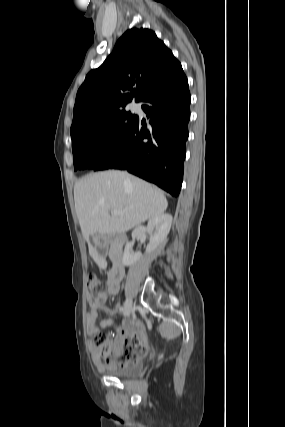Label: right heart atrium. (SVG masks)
I'll use <instances>...</instances> for the list:
<instances>
[{
    "label": "right heart atrium",
    "mask_w": 285,
    "mask_h": 427,
    "mask_svg": "<svg viewBox=\"0 0 285 427\" xmlns=\"http://www.w3.org/2000/svg\"><path fill=\"white\" fill-rule=\"evenodd\" d=\"M107 139H108V136H107L106 134H102V135L100 136V141H101V142H105Z\"/></svg>",
    "instance_id": "right-heart-atrium-1"
}]
</instances>
